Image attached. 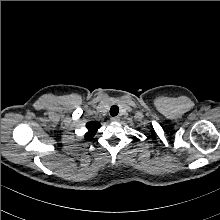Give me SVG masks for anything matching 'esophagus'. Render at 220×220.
Masks as SVG:
<instances>
[{"mask_svg":"<svg viewBox=\"0 0 220 220\" xmlns=\"http://www.w3.org/2000/svg\"><path fill=\"white\" fill-rule=\"evenodd\" d=\"M119 120H120V118L118 116L111 117L112 122H118Z\"/></svg>","mask_w":220,"mask_h":220,"instance_id":"1","label":"esophagus"}]
</instances>
